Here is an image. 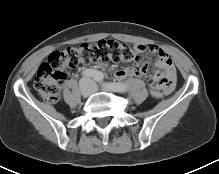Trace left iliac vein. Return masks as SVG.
<instances>
[{
	"instance_id": "obj_1",
	"label": "left iliac vein",
	"mask_w": 219,
	"mask_h": 174,
	"mask_svg": "<svg viewBox=\"0 0 219 174\" xmlns=\"http://www.w3.org/2000/svg\"><path fill=\"white\" fill-rule=\"evenodd\" d=\"M103 89H105V90H107V91H115V90H113V89H111V88H109V87H107V86L103 87ZM96 91H97V88H94V89H93V92H96Z\"/></svg>"
}]
</instances>
